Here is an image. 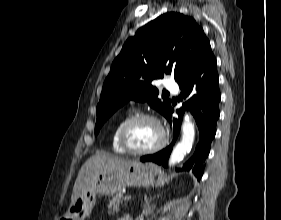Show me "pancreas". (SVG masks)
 <instances>
[{"label": "pancreas", "instance_id": "obj_1", "mask_svg": "<svg viewBox=\"0 0 281 220\" xmlns=\"http://www.w3.org/2000/svg\"><path fill=\"white\" fill-rule=\"evenodd\" d=\"M123 194L121 192L116 193L109 201L108 209L111 213H118L119 206L122 204Z\"/></svg>", "mask_w": 281, "mask_h": 220}]
</instances>
